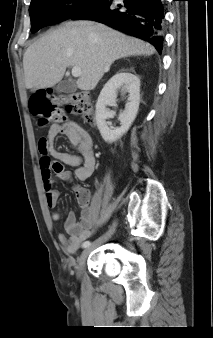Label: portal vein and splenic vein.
<instances>
[{"label": "portal vein and splenic vein", "instance_id": "obj_1", "mask_svg": "<svg viewBox=\"0 0 213 338\" xmlns=\"http://www.w3.org/2000/svg\"><path fill=\"white\" fill-rule=\"evenodd\" d=\"M81 75V69L79 67H73L72 68V76L73 77H80Z\"/></svg>", "mask_w": 213, "mask_h": 338}]
</instances>
